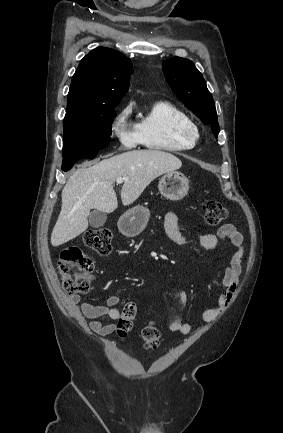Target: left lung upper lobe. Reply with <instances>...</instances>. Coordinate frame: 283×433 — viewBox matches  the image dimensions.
Masks as SVG:
<instances>
[{
  "label": "left lung upper lobe",
  "mask_w": 283,
  "mask_h": 433,
  "mask_svg": "<svg viewBox=\"0 0 283 433\" xmlns=\"http://www.w3.org/2000/svg\"><path fill=\"white\" fill-rule=\"evenodd\" d=\"M162 69L173 92L203 123L212 124L217 138L220 128L214 100L202 74L190 60L181 57L165 60Z\"/></svg>",
  "instance_id": "1"
}]
</instances>
